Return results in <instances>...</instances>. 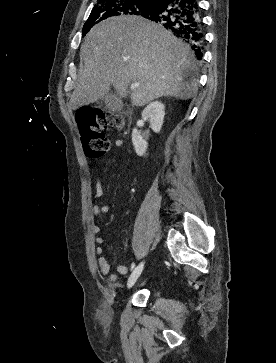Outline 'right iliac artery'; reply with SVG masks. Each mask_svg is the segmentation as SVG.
<instances>
[{
  "label": "right iliac artery",
  "instance_id": "82829eb1",
  "mask_svg": "<svg viewBox=\"0 0 276 363\" xmlns=\"http://www.w3.org/2000/svg\"><path fill=\"white\" fill-rule=\"evenodd\" d=\"M134 264H132V266H131V271L133 270V268H134ZM142 269H143V266H141V271H142Z\"/></svg>",
  "mask_w": 276,
  "mask_h": 363
}]
</instances>
